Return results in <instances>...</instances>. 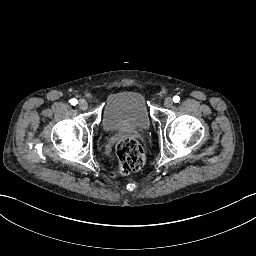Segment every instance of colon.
<instances>
[{
    "label": "colon",
    "instance_id": "1",
    "mask_svg": "<svg viewBox=\"0 0 256 256\" xmlns=\"http://www.w3.org/2000/svg\"><path fill=\"white\" fill-rule=\"evenodd\" d=\"M118 165L115 171L109 173L111 177L129 175L139 170L145 161L141 145L133 138L121 139L116 147Z\"/></svg>",
    "mask_w": 256,
    "mask_h": 256
}]
</instances>
